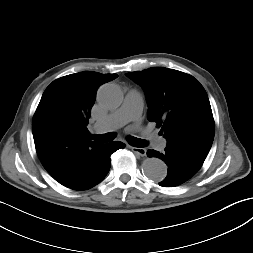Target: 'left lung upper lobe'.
Returning <instances> with one entry per match:
<instances>
[{"label":"left lung upper lobe","instance_id":"5c2ea615","mask_svg":"<svg viewBox=\"0 0 253 253\" xmlns=\"http://www.w3.org/2000/svg\"><path fill=\"white\" fill-rule=\"evenodd\" d=\"M143 87L149 121L161 127L167 146L207 156L215 124L208 96L191 75L174 69L153 67L126 73Z\"/></svg>","mask_w":253,"mask_h":253}]
</instances>
